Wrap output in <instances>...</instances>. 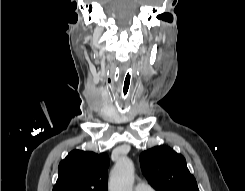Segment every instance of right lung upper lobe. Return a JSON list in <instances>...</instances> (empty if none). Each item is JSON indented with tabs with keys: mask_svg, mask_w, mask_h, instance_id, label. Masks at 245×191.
I'll use <instances>...</instances> for the list:
<instances>
[{
	"mask_svg": "<svg viewBox=\"0 0 245 191\" xmlns=\"http://www.w3.org/2000/svg\"><path fill=\"white\" fill-rule=\"evenodd\" d=\"M106 153L74 150L61 161L52 191H108Z\"/></svg>",
	"mask_w": 245,
	"mask_h": 191,
	"instance_id": "1",
	"label": "right lung upper lobe"
}]
</instances>
